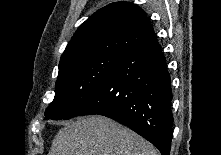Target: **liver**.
Masks as SVG:
<instances>
[{
	"instance_id": "liver-1",
	"label": "liver",
	"mask_w": 221,
	"mask_h": 155,
	"mask_svg": "<svg viewBox=\"0 0 221 155\" xmlns=\"http://www.w3.org/2000/svg\"><path fill=\"white\" fill-rule=\"evenodd\" d=\"M152 144L104 116L68 123L53 139L49 155H157Z\"/></svg>"
}]
</instances>
